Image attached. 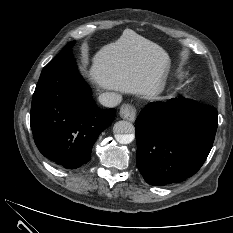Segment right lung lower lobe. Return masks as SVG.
Masks as SVG:
<instances>
[{"label": "right lung lower lobe", "instance_id": "right-lung-lower-lobe-1", "mask_svg": "<svg viewBox=\"0 0 233 233\" xmlns=\"http://www.w3.org/2000/svg\"><path fill=\"white\" fill-rule=\"evenodd\" d=\"M115 114L113 108L97 107L71 49H63L42 70L32 99L31 129L45 157L75 169L90 160L94 142Z\"/></svg>", "mask_w": 233, "mask_h": 233}]
</instances>
